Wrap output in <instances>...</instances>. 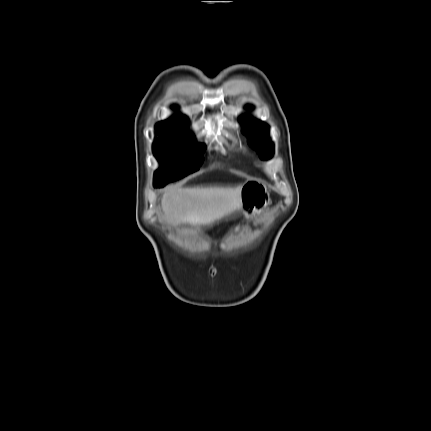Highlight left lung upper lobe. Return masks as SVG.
<instances>
[{
  "label": "left lung upper lobe",
  "mask_w": 431,
  "mask_h": 431,
  "mask_svg": "<svg viewBox=\"0 0 431 431\" xmlns=\"http://www.w3.org/2000/svg\"><path fill=\"white\" fill-rule=\"evenodd\" d=\"M243 133L248 136L249 145L260 155L261 159L272 156V142L268 137V127L259 120L248 121L247 128Z\"/></svg>",
  "instance_id": "5c2ea615"
}]
</instances>
